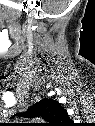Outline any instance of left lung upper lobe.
<instances>
[{
    "label": "left lung upper lobe",
    "mask_w": 95,
    "mask_h": 126,
    "mask_svg": "<svg viewBox=\"0 0 95 126\" xmlns=\"http://www.w3.org/2000/svg\"><path fill=\"white\" fill-rule=\"evenodd\" d=\"M16 116H24L26 118L42 117L49 122L43 124L44 126H65L70 121L67 111L61 104L50 98L42 99L26 112L18 113Z\"/></svg>",
    "instance_id": "1"
}]
</instances>
